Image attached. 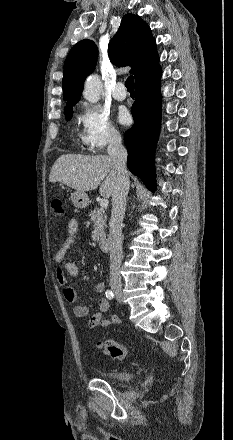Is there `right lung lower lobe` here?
Returning a JSON list of instances; mask_svg holds the SVG:
<instances>
[{
    "instance_id": "98d812e1",
    "label": "right lung lower lobe",
    "mask_w": 233,
    "mask_h": 440,
    "mask_svg": "<svg viewBox=\"0 0 233 440\" xmlns=\"http://www.w3.org/2000/svg\"><path fill=\"white\" fill-rule=\"evenodd\" d=\"M160 76L159 67L135 83V102L131 109L134 125L124 134L128 168L152 191L155 189L153 157L161 118Z\"/></svg>"
}]
</instances>
